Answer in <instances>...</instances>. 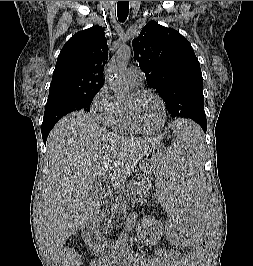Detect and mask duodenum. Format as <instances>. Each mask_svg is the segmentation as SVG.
<instances>
[{
	"mask_svg": "<svg viewBox=\"0 0 253 266\" xmlns=\"http://www.w3.org/2000/svg\"><path fill=\"white\" fill-rule=\"evenodd\" d=\"M93 230L94 228H90L89 229V234H88V238L93 241L94 240V235H93ZM99 261H103L104 265L103 266H115L116 265V260L113 257H103L102 259H100Z\"/></svg>",
	"mask_w": 253,
	"mask_h": 266,
	"instance_id": "obj_1",
	"label": "duodenum"
}]
</instances>
